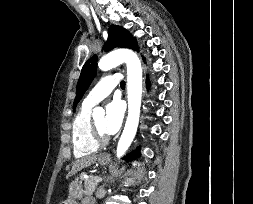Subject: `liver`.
<instances>
[{
  "mask_svg": "<svg viewBox=\"0 0 253 204\" xmlns=\"http://www.w3.org/2000/svg\"><path fill=\"white\" fill-rule=\"evenodd\" d=\"M96 160L97 155L95 154L82 157L81 159H77L76 161H74L71 172L67 175V177L75 174L77 171H80L85 167L92 165L93 163L96 162Z\"/></svg>",
  "mask_w": 253,
  "mask_h": 204,
  "instance_id": "liver-1",
  "label": "liver"
}]
</instances>
